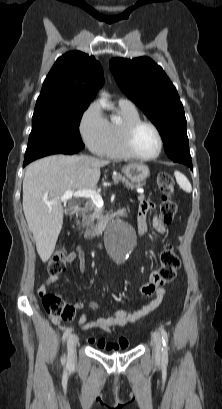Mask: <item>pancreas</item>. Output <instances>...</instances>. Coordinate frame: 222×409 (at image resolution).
Here are the masks:
<instances>
[{
  "mask_svg": "<svg viewBox=\"0 0 222 409\" xmlns=\"http://www.w3.org/2000/svg\"><path fill=\"white\" fill-rule=\"evenodd\" d=\"M113 179L115 182L122 181L127 186L134 188L140 187L141 185H133L130 183L125 177L121 176L120 174L114 175ZM82 222L81 226L86 228L85 234L87 236H94L95 235V220H99L102 216V209L97 207L92 200H88L85 204L83 210L81 211Z\"/></svg>",
  "mask_w": 222,
  "mask_h": 409,
  "instance_id": "pancreas-1",
  "label": "pancreas"
}]
</instances>
